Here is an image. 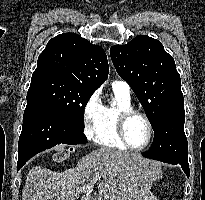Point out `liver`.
<instances>
[{"instance_id":"liver-1","label":"liver","mask_w":205,"mask_h":200,"mask_svg":"<svg viewBox=\"0 0 205 200\" xmlns=\"http://www.w3.org/2000/svg\"><path fill=\"white\" fill-rule=\"evenodd\" d=\"M103 181L98 193L105 200H138L161 177L158 163L135 153L99 148L83 156L75 168L53 172L33 167L22 190V200H78L82 187L94 184L97 173Z\"/></svg>"}]
</instances>
